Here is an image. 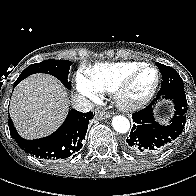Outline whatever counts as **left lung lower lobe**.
Here are the masks:
<instances>
[{
    "mask_svg": "<svg viewBox=\"0 0 196 196\" xmlns=\"http://www.w3.org/2000/svg\"><path fill=\"white\" fill-rule=\"evenodd\" d=\"M162 78L165 81L176 82L175 73L169 69H162ZM171 84V83H170ZM168 99L174 105V114L168 124L162 125L155 121L153 109L160 99ZM187 100L185 92L157 94V98L146 108L133 113L132 127L125 147L128 151L139 156H152L161 153L170 146L182 133L186 123Z\"/></svg>",
    "mask_w": 196,
    "mask_h": 196,
    "instance_id": "left-lung-lower-lobe-1",
    "label": "left lung lower lobe"
}]
</instances>
